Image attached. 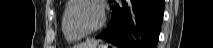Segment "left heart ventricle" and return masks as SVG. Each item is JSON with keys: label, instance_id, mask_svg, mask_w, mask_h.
I'll use <instances>...</instances> for the list:
<instances>
[{"label": "left heart ventricle", "instance_id": "left-heart-ventricle-1", "mask_svg": "<svg viewBox=\"0 0 213 48\" xmlns=\"http://www.w3.org/2000/svg\"><path fill=\"white\" fill-rule=\"evenodd\" d=\"M101 18L100 8L92 2L79 3L72 12L74 23L83 30L95 28Z\"/></svg>", "mask_w": 213, "mask_h": 48}]
</instances>
